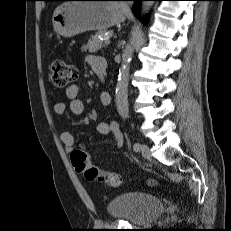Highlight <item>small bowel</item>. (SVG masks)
I'll use <instances>...</instances> for the list:
<instances>
[{
	"instance_id": "c3829d8e",
	"label": "small bowel",
	"mask_w": 231,
	"mask_h": 231,
	"mask_svg": "<svg viewBox=\"0 0 231 231\" xmlns=\"http://www.w3.org/2000/svg\"><path fill=\"white\" fill-rule=\"evenodd\" d=\"M88 62L92 69L100 64H106V61L103 58L99 57H89ZM95 72V70H94ZM79 89L76 85H70L65 89V96L70 101V111L75 116H81L84 112L83 102L78 97ZM100 102L101 104L107 108L111 104V96L108 92H102L100 94ZM66 103L65 102H57L54 106V111L58 115H62L66 112ZM97 131L100 134H111L113 135L116 145L118 147L123 144V135L121 133L118 122L116 121H99L97 124ZM61 141L65 147V150L70 152L74 146V137L70 132H63L61 134Z\"/></svg>"
}]
</instances>
